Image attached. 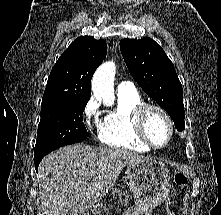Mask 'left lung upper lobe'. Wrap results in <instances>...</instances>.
I'll list each match as a JSON object with an SVG mask.
<instances>
[{"label":"left lung upper lobe","instance_id":"obj_1","mask_svg":"<svg viewBox=\"0 0 221 215\" xmlns=\"http://www.w3.org/2000/svg\"><path fill=\"white\" fill-rule=\"evenodd\" d=\"M120 50L130 74L166 112L178 131L185 129L182 85L174 65L151 38L123 39Z\"/></svg>","mask_w":221,"mask_h":215}]
</instances>
